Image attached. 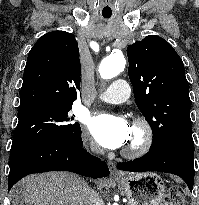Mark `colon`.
Masks as SVG:
<instances>
[{
	"label": "colon",
	"mask_w": 199,
	"mask_h": 205,
	"mask_svg": "<svg viewBox=\"0 0 199 205\" xmlns=\"http://www.w3.org/2000/svg\"><path fill=\"white\" fill-rule=\"evenodd\" d=\"M183 204V191L180 187H171L165 197L164 205H182Z\"/></svg>",
	"instance_id": "colon-1"
}]
</instances>
